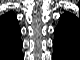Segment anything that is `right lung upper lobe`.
Wrapping results in <instances>:
<instances>
[{
  "label": "right lung upper lobe",
  "mask_w": 80,
  "mask_h": 60,
  "mask_svg": "<svg viewBox=\"0 0 80 60\" xmlns=\"http://www.w3.org/2000/svg\"><path fill=\"white\" fill-rule=\"evenodd\" d=\"M0 23V48L2 50H15L22 45L20 28L14 12H8L1 17Z\"/></svg>",
  "instance_id": "obj_1"
}]
</instances>
